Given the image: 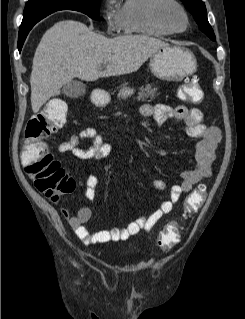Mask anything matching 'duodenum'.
Wrapping results in <instances>:
<instances>
[{
	"label": "duodenum",
	"instance_id": "obj_1",
	"mask_svg": "<svg viewBox=\"0 0 245 319\" xmlns=\"http://www.w3.org/2000/svg\"><path fill=\"white\" fill-rule=\"evenodd\" d=\"M92 103L95 106H101L103 104V95L99 91H95L91 96Z\"/></svg>",
	"mask_w": 245,
	"mask_h": 319
}]
</instances>
